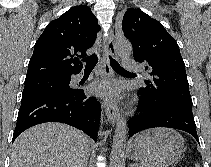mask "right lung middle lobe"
Segmentation results:
<instances>
[{
	"label": "right lung middle lobe",
	"mask_w": 211,
	"mask_h": 167,
	"mask_svg": "<svg viewBox=\"0 0 211 167\" xmlns=\"http://www.w3.org/2000/svg\"><path fill=\"white\" fill-rule=\"evenodd\" d=\"M71 76H50L25 81L22 95L37 94L44 92H67Z\"/></svg>",
	"instance_id": "1"
}]
</instances>
